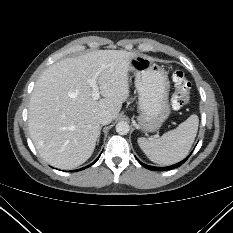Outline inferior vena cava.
Returning a JSON list of instances; mask_svg holds the SVG:
<instances>
[{
	"label": "inferior vena cava",
	"mask_w": 233,
	"mask_h": 233,
	"mask_svg": "<svg viewBox=\"0 0 233 233\" xmlns=\"http://www.w3.org/2000/svg\"><path fill=\"white\" fill-rule=\"evenodd\" d=\"M111 121H112V115L108 111H103L99 114L98 122L101 125H107L111 123Z\"/></svg>",
	"instance_id": "obj_1"
}]
</instances>
